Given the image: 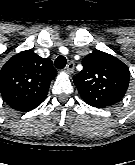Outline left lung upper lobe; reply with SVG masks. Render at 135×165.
Returning a JSON list of instances; mask_svg holds the SVG:
<instances>
[{
    "instance_id": "obj_1",
    "label": "left lung upper lobe",
    "mask_w": 135,
    "mask_h": 165,
    "mask_svg": "<svg viewBox=\"0 0 135 165\" xmlns=\"http://www.w3.org/2000/svg\"><path fill=\"white\" fill-rule=\"evenodd\" d=\"M83 70L74 76L82 99L89 105L105 108L125 95L130 72L118 58L96 50L83 58Z\"/></svg>"
}]
</instances>
